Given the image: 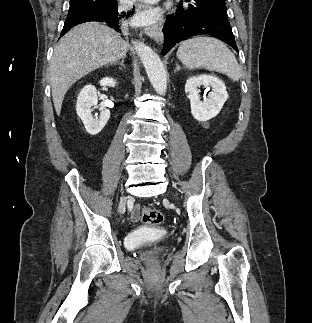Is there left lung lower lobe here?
Returning <instances> with one entry per match:
<instances>
[{
  "label": "left lung lower lobe",
  "mask_w": 312,
  "mask_h": 323,
  "mask_svg": "<svg viewBox=\"0 0 312 323\" xmlns=\"http://www.w3.org/2000/svg\"><path fill=\"white\" fill-rule=\"evenodd\" d=\"M175 14L166 19L163 33L166 54L176 43L197 35H211L238 52L228 21L225 0H184Z\"/></svg>",
  "instance_id": "0a47b994"
}]
</instances>
